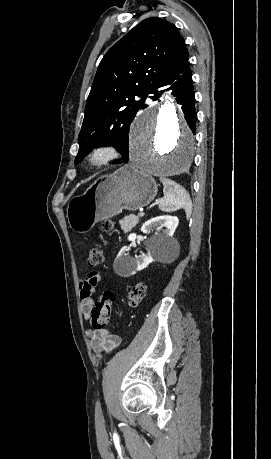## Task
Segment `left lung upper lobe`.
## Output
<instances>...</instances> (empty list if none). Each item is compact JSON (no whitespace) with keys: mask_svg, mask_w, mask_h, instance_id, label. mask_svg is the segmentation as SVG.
<instances>
[{"mask_svg":"<svg viewBox=\"0 0 271 459\" xmlns=\"http://www.w3.org/2000/svg\"><path fill=\"white\" fill-rule=\"evenodd\" d=\"M189 59L174 24L158 17L141 21L101 60L79 133L78 163L93 148L113 145L128 156V133L145 98ZM142 97L135 101V97Z\"/></svg>","mask_w":271,"mask_h":459,"instance_id":"obj_1","label":"left lung upper lobe"}]
</instances>
